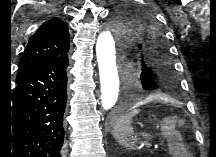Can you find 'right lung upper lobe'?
<instances>
[{"label":"right lung upper lobe","instance_id":"right-lung-upper-lobe-1","mask_svg":"<svg viewBox=\"0 0 216 157\" xmlns=\"http://www.w3.org/2000/svg\"><path fill=\"white\" fill-rule=\"evenodd\" d=\"M68 50L69 32L66 23L58 18L46 21L29 39L17 79L53 59L66 56Z\"/></svg>","mask_w":216,"mask_h":157}]
</instances>
